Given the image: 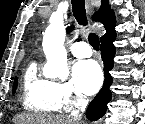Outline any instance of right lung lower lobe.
<instances>
[{"label": "right lung lower lobe", "instance_id": "obj_1", "mask_svg": "<svg viewBox=\"0 0 145 124\" xmlns=\"http://www.w3.org/2000/svg\"><path fill=\"white\" fill-rule=\"evenodd\" d=\"M116 38L115 30L111 31L104 36L101 37V56L104 62V74H105V81L103 84L102 89L96 95V97L91 101L86 111V115L88 119L95 121L101 118L106 110H107V103L111 100V92L109 87L112 84V77L109 73L110 70L113 69L114 62L113 58L115 55V47L113 42Z\"/></svg>", "mask_w": 145, "mask_h": 124}]
</instances>
